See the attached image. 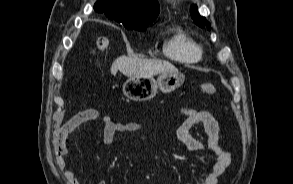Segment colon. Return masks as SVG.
Instances as JSON below:
<instances>
[{
    "mask_svg": "<svg viewBox=\"0 0 293 184\" xmlns=\"http://www.w3.org/2000/svg\"><path fill=\"white\" fill-rule=\"evenodd\" d=\"M109 44H110L109 39L106 36L96 37L91 47L92 54L96 55L101 52H104L105 50L108 49ZM199 88L203 93H206L209 95L217 94V89L214 87V85L210 83H202L200 84ZM57 147L60 153H66L67 152L66 140L65 141L59 140Z\"/></svg>",
    "mask_w": 293,
    "mask_h": 184,
    "instance_id": "1",
    "label": "colon"
}]
</instances>
